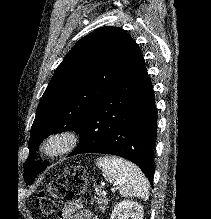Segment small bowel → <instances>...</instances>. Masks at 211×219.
Masks as SVG:
<instances>
[{"mask_svg":"<svg viewBox=\"0 0 211 219\" xmlns=\"http://www.w3.org/2000/svg\"><path fill=\"white\" fill-rule=\"evenodd\" d=\"M57 219H92V215L89 211L82 209L80 204L72 203L59 212Z\"/></svg>","mask_w":211,"mask_h":219,"instance_id":"obj_1","label":"small bowel"}]
</instances>
